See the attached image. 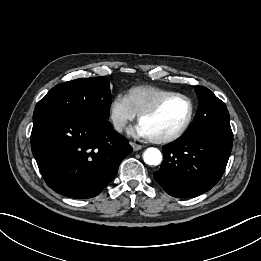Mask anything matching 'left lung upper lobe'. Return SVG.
I'll return each mask as SVG.
<instances>
[{
  "label": "left lung upper lobe",
  "instance_id": "obj_1",
  "mask_svg": "<svg viewBox=\"0 0 261 261\" xmlns=\"http://www.w3.org/2000/svg\"><path fill=\"white\" fill-rule=\"evenodd\" d=\"M199 105L196 116L182 137L202 132L231 130L230 116L225 103L209 89L195 86Z\"/></svg>",
  "mask_w": 261,
  "mask_h": 261
}]
</instances>
